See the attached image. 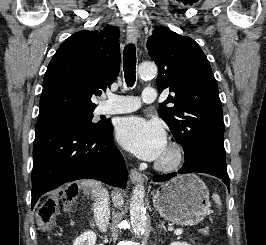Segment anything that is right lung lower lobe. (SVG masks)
Instances as JSON below:
<instances>
[{"mask_svg": "<svg viewBox=\"0 0 266 245\" xmlns=\"http://www.w3.org/2000/svg\"><path fill=\"white\" fill-rule=\"evenodd\" d=\"M94 127L78 120H59L36 130L33 146V209L46 192L77 179H96L125 188L127 170L113 143V126Z\"/></svg>", "mask_w": 266, "mask_h": 245, "instance_id": "98d812e1", "label": "right lung lower lobe"}]
</instances>
